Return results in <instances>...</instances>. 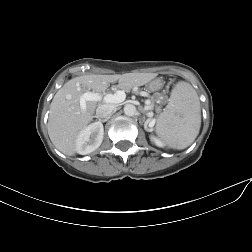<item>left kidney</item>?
<instances>
[{
	"label": "left kidney",
	"mask_w": 252,
	"mask_h": 252,
	"mask_svg": "<svg viewBox=\"0 0 252 252\" xmlns=\"http://www.w3.org/2000/svg\"><path fill=\"white\" fill-rule=\"evenodd\" d=\"M151 141H153L159 147L164 146V143L160 139L156 138L155 136H151Z\"/></svg>",
	"instance_id": "left-kidney-1"
}]
</instances>
